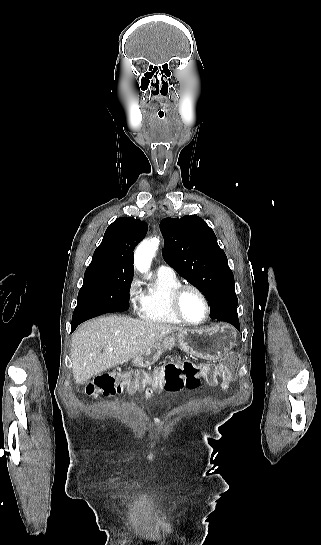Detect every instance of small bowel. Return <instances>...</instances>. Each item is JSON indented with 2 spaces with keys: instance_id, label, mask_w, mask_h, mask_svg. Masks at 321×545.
I'll return each instance as SVG.
<instances>
[{
  "instance_id": "c3829d8e",
  "label": "small bowel",
  "mask_w": 321,
  "mask_h": 545,
  "mask_svg": "<svg viewBox=\"0 0 321 545\" xmlns=\"http://www.w3.org/2000/svg\"><path fill=\"white\" fill-rule=\"evenodd\" d=\"M221 387H222L224 390H226V389L229 388V384L225 382V383H223V384L221 385ZM151 395H152V391H151L150 389H147V390L145 391V397H150Z\"/></svg>"
}]
</instances>
